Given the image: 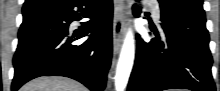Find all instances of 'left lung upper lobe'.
Listing matches in <instances>:
<instances>
[{"instance_id": "1", "label": "left lung upper lobe", "mask_w": 220, "mask_h": 91, "mask_svg": "<svg viewBox=\"0 0 220 91\" xmlns=\"http://www.w3.org/2000/svg\"><path fill=\"white\" fill-rule=\"evenodd\" d=\"M159 3L170 5L197 15L205 16L203 0H159Z\"/></svg>"}]
</instances>
